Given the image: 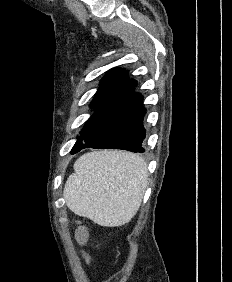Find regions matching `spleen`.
<instances>
[{
  "label": "spleen",
  "mask_w": 232,
  "mask_h": 282,
  "mask_svg": "<svg viewBox=\"0 0 232 282\" xmlns=\"http://www.w3.org/2000/svg\"><path fill=\"white\" fill-rule=\"evenodd\" d=\"M63 196L68 208L101 226L128 223L137 213L147 182V165L135 154L95 151L74 164Z\"/></svg>",
  "instance_id": "obj_1"
}]
</instances>
